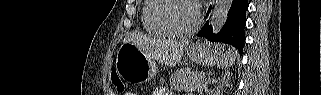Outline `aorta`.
Here are the masks:
<instances>
[{
  "label": "aorta",
  "mask_w": 321,
  "mask_h": 95,
  "mask_svg": "<svg viewBox=\"0 0 321 95\" xmlns=\"http://www.w3.org/2000/svg\"><path fill=\"white\" fill-rule=\"evenodd\" d=\"M232 2V0H215L211 17V26L214 34H218L223 28L228 18Z\"/></svg>",
  "instance_id": "obj_1"
}]
</instances>
